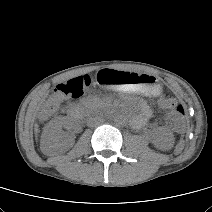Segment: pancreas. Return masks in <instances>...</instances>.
I'll list each match as a JSON object with an SVG mask.
<instances>
[{"label":"pancreas","mask_w":212,"mask_h":212,"mask_svg":"<svg viewBox=\"0 0 212 212\" xmlns=\"http://www.w3.org/2000/svg\"><path fill=\"white\" fill-rule=\"evenodd\" d=\"M98 103H100V100H99L98 98H92V99L88 100V101L85 103V105H86L87 107H93V106H95V105L98 104Z\"/></svg>","instance_id":"obj_1"}]
</instances>
